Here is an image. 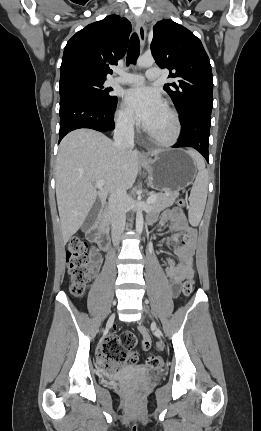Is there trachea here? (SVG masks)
<instances>
[{
	"instance_id": "3493384b",
	"label": "trachea",
	"mask_w": 261,
	"mask_h": 431,
	"mask_svg": "<svg viewBox=\"0 0 261 431\" xmlns=\"http://www.w3.org/2000/svg\"><path fill=\"white\" fill-rule=\"evenodd\" d=\"M139 53H140L139 37L136 33H133L128 47L127 60H126L127 65L135 64L139 56Z\"/></svg>"
}]
</instances>
